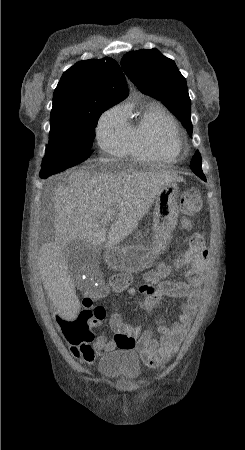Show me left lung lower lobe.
<instances>
[{
  "instance_id": "0a47b994",
  "label": "left lung lower lobe",
  "mask_w": 245,
  "mask_h": 450,
  "mask_svg": "<svg viewBox=\"0 0 245 450\" xmlns=\"http://www.w3.org/2000/svg\"><path fill=\"white\" fill-rule=\"evenodd\" d=\"M201 179H203L204 181H206V178H205V177H201Z\"/></svg>"
}]
</instances>
